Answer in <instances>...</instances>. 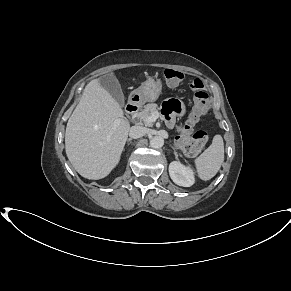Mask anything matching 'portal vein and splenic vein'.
Returning a JSON list of instances; mask_svg holds the SVG:
<instances>
[{
  "label": "portal vein and splenic vein",
  "mask_w": 291,
  "mask_h": 291,
  "mask_svg": "<svg viewBox=\"0 0 291 291\" xmlns=\"http://www.w3.org/2000/svg\"><path fill=\"white\" fill-rule=\"evenodd\" d=\"M159 118V113L158 112H153L151 114V116H149L145 121L146 123H153L155 122L157 119ZM119 124V121H115V126H117Z\"/></svg>",
  "instance_id": "obj_1"
}]
</instances>
